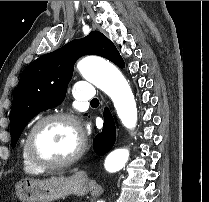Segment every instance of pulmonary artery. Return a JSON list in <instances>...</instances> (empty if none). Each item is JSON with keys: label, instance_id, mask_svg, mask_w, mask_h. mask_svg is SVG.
I'll list each match as a JSON object with an SVG mask.
<instances>
[{"label": "pulmonary artery", "instance_id": "1", "mask_svg": "<svg viewBox=\"0 0 209 202\" xmlns=\"http://www.w3.org/2000/svg\"><path fill=\"white\" fill-rule=\"evenodd\" d=\"M75 98L78 101H92L95 99V88L92 84L81 79L75 83Z\"/></svg>", "mask_w": 209, "mask_h": 202}]
</instances>
